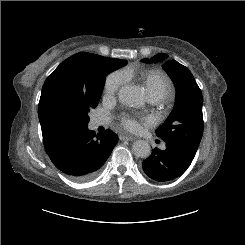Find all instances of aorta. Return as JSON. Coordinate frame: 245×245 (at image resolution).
<instances>
[{"instance_id":"obj_1","label":"aorta","mask_w":245,"mask_h":245,"mask_svg":"<svg viewBox=\"0 0 245 245\" xmlns=\"http://www.w3.org/2000/svg\"><path fill=\"white\" fill-rule=\"evenodd\" d=\"M118 97L121 103L131 107H140L144 102L142 91L135 86L121 87ZM132 151L136 157L147 158L151 154V147L147 141L137 140L132 145Z\"/></svg>"}]
</instances>
